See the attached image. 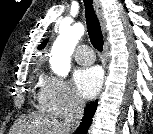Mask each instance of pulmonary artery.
I'll return each mask as SVG.
<instances>
[{"label":"pulmonary artery","mask_w":153,"mask_h":134,"mask_svg":"<svg viewBox=\"0 0 153 134\" xmlns=\"http://www.w3.org/2000/svg\"><path fill=\"white\" fill-rule=\"evenodd\" d=\"M74 56L76 61L83 65H90L95 60L93 51L87 45H80L76 49Z\"/></svg>","instance_id":"pulmonary-artery-1"}]
</instances>
